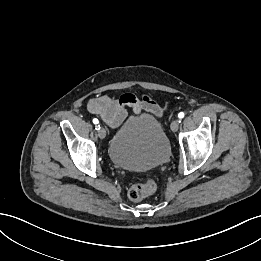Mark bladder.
<instances>
[{
	"instance_id": "obj_1",
	"label": "bladder",
	"mask_w": 261,
	"mask_h": 261,
	"mask_svg": "<svg viewBox=\"0 0 261 261\" xmlns=\"http://www.w3.org/2000/svg\"><path fill=\"white\" fill-rule=\"evenodd\" d=\"M171 152L161 123L151 115L128 118L113 135L108 155L119 168L145 171L164 164Z\"/></svg>"
}]
</instances>
